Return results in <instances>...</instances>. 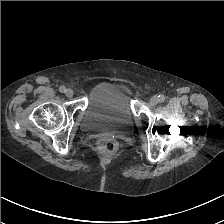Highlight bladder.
Listing matches in <instances>:
<instances>
[{"mask_svg": "<svg viewBox=\"0 0 224 224\" xmlns=\"http://www.w3.org/2000/svg\"><path fill=\"white\" fill-rule=\"evenodd\" d=\"M80 127L86 134H129L133 116L126 88L115 81L98 83L88 96Z\"/></svg>", "mask_w": 224, "mask_h": 224, "instance_id": "31cf9c89", "label": "bladder"}]
</instances>
